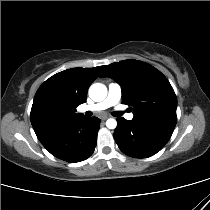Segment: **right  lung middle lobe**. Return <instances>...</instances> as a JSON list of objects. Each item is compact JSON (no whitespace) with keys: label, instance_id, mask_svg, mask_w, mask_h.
<instances>
[{"label":"right lung middle lobe","instance_id":"dd1d6c3e","mask_svg":"<svg viewBox=\"0 0 210 210\" xmlns=\"http://www.w3.org/2000/svg\"><path fill=\"white\" fill-rule=\"evenodd\" d=\"M50 118L49 117H47L45 120H44V124H48L49 122H50Z\"/></svg>","mask_w":210,"mask_h":210}]
</instances>
